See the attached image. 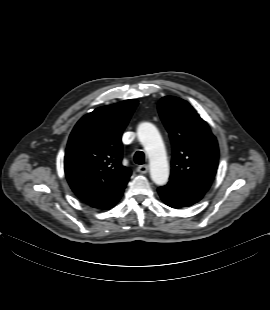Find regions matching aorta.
<instances>
[{"instance_id": "obj_1", "label": "aorta", "mask_w": 270, "mask_h": 310, "mask_svg": "<svg viewBox=\"0 0 270 310\" xmlns=\"http://www.w3.org/2000/svg\"><path fill=\"white\" fill-rule=\"evenodd\" d=\"M137 136L150 161V176L157 185H165L169 178V165L164 143L158 129L149 122L138 126Z\"/></svg>"}]
</instances>
